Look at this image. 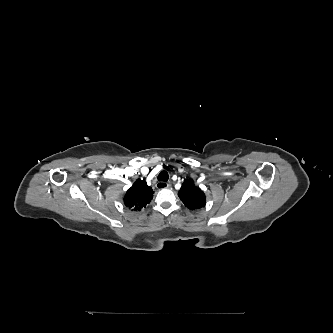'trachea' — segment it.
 <instances>
[{"label": "trachea", "mask_w": 333, "mask_h": 333, "mask_svg": "<svg viewBox=\"0 0 333 333\" xmlns=\"http://www.w3.org/2000/svg\"><path fill=\"white\" fill-rule=\"evenodd\" d=\"M168 173L166 171H161L158 175V180L159 181H164V182H167L168 181Z\"/></svg>", "instance_id": "obj_1"}]
</instances>
